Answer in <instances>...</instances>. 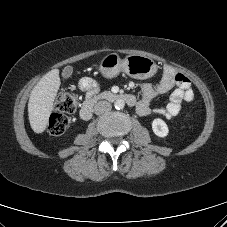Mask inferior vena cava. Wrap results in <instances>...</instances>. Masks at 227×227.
<instances>
[{
	"label": "inferior vena cava",
	"instance_id": "1",
	"mask_svg": "<svg viewBox=\"0 0 227 227\" xmlns=\"http://www.w3.org/2000/svg\"><path fill=\"white\" fill-rule=\"evenodd\" d=\"M111 108H112V106L109 102L99 101L94 106V112H95V114L99 115V114L109 112L111 110Z\"/></svg>",
	"mask_w": 227,
	"mask_h": 227
}]
</instances>
